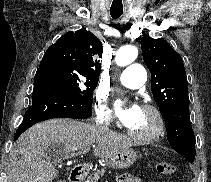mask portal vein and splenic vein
<instances>
[{
  "label": "portal vein and splenic vein",
  "mask_w": 211,
  "mask_h": 182,
  "mask_svg": "<svg viewBox=\"0 0 211 182\" xmlns=\"http://www.w3.org/2000/svg\"><path fill=\"white\" fill-rule=\"evenodd\" d=\"M90 150V147H87V148H84L82 151H81V153H87L88 151ZM67 157H69V156H67Z\"/></svg>",
  "instance_id": "obj_1"
}]
</instances>
